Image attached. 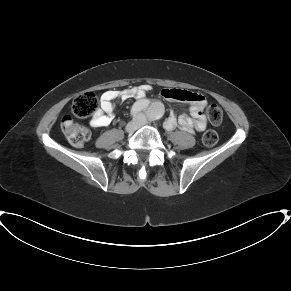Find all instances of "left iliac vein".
<instances>
[{
    "mask_svg": "<svg viewBox=\"0 0 291 291\" xmlns=\"http://www.w3.org/2000/svg\"><path fill=\"white\" fill-rule=\"evenodd\" d=\"M139 123H140V126H144V125H147L149 122L145 117H141Z\"/></svg>",
    "mask_w": 291,
    "mask_h": 291,
    "instance_id": "obj_1",
    "label": "left iliac vein"
}]
</instances>
